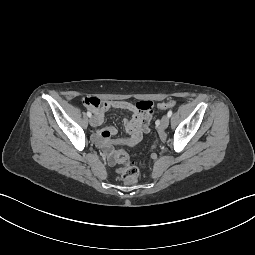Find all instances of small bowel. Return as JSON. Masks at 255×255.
<instances>
[{"label":"small bowel","mask_w":255,"mask_h":255,"mask_svg":"<svg viewBox=\"0 0 255 255\" xmlns=\"http://www.w3.org/2000/svg\"><path fill=\"white\" fill-rule=\"evenodd\" d=\"M95 104L86 105L94 114L97 125L100 126L104 121L105 112L110 108L123 109L130 112V117L124 120V125L128 133L124 143L127 146H135L141 139L143 133L148 132L149 121L152 117L153 106L149 101L130 103L127 101H108L92 97ZM164 109V108H162ZM116 133L114 127L100 128L95 133V139L105 150L110 165L116 164L115 152L110 138Z\"/></svg>","instance_id":"c3829d8e"}]
</instances>
